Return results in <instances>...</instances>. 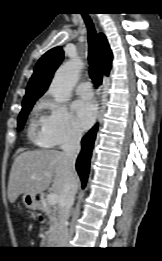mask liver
<instances>
[{
    "instance_id": "obj_1",
    "label": "liver",
    "mask_w": 162,
    "mask_h": 261,
    "mask_svg": "<svg viewBox=\"0 0 162 261\" xmlns=\"http://www.w3.org/2000/svg\"><path fill=\"white\" fill-rule=\"evenodd\" d=\"M69 179L78 186V175L75 170L68 168L63 152L45 149L25 151L13 162L8 182V199L14 203L20 194L36 196L52 183V192L61 200Z\"/></svg>"
}]
</instances>
